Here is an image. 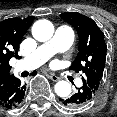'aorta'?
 <instances>
[{
    "mask_svg": "<svg viewBox=\"0 0 117 117\" xmlns=\"http://www.w3.org/2000/svg\"><path fill=\"white\" fill-rule=\"evenodd\" d=\"M54 33V26L48 20H39L34 23L32 27L33 37L40 41L45 42L51 39ZM55 93L61 97L66 98L71 94V85L67 81H59L55 85Z\"/></svg>",
    "mask_w": 117,
    "mask_h": 117,
    "instance_id": "762f6f07",
    "label": "aorta"
}]
</instances>
